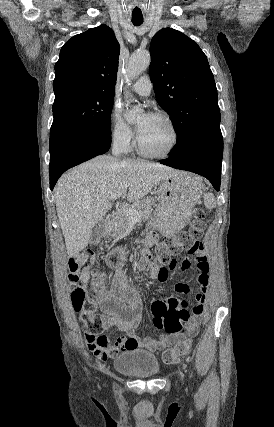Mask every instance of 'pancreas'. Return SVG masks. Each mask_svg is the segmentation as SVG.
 Listing matches in <instances>:
<instances>
[{
	"instance_id": "cf45deb5",
	"label": "pancreas",
	"mask_w": 274,
	"mask_h": 427,
	"mask_svg": "<svg viewBox=\"0 0 274 427\" xmlns=\"http://www.w3.org/2000/svg\"><path fill=\"white\" fill-rule=\"evenodd\" d=\"M155 200L154 198H142V200H138V202H133L131 206H126V208H122L117 215H115L114 219H111L110 227H106L105 235L108 237H117V235H121L124 233L125 229L128 227V223L130 221L127 215V208H132V210H136L138 214H140V219L146 221V219H150L154 214V210L152 206H154Z\"/></svg>"
}]
</instances>
